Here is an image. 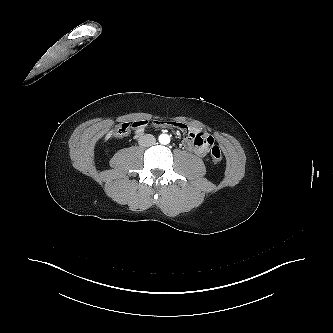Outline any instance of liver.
<instances>
[{
  "label": "liver",
  "mask_w": 333,
  "mask_h": 333,
  "mask_svg": "<svg viewBox=\"0 0 333 333\" xmlns=\"http://www.w3.org/2000/svg\"><path fill=\"white\" fill-rule=\"evenodd\" d=\"M112 132L110 131L108 134H107V137L106 138H109L111 136Z\"/></svg>",
  "instance_id": "liver-1"
}]
</instances>
